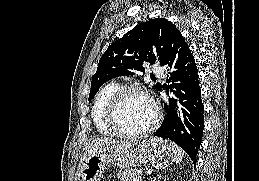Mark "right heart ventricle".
<instances>
[{
  "mask_svg": "<svg viewBox=\"0 0 259 181\" xmlns=\"http://www.w3.org/2000/svg\"><path fill=\"white\" fill-rule=\"evenodd\" d=\"M118 88V83L110 82L101 87L95 96L91 110V118L97 132L102 135L115 134V131L107 123L106 112L108 104Z\"/></svg>",
  "mask_w": 259,
  "mask_h": 181,
  "instance_id": "right-heart-ventricle-1",
  "label": "right heart ventricle"
}]
</instances>
